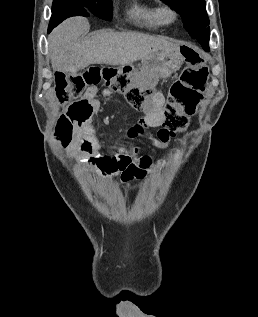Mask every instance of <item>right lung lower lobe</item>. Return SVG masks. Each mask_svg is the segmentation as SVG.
Masks as SVG:
<instances>
[{
	"instance_id": "98d812e1",
	"label": "right lung lower lobe",
	"mask_w": 258,
	"mask_h": 317,
	"mask_svg": "<svg viewBox=\"0 0 258 317\" xmlns=\"http://www.w3.org/2000/svg\"><path fill=\"white\" fill-rule=\"evenodd\" d=\"M90 13L97 16L96 10L93 7L87 6L82 2L65 0L58 3H53L52 17L48 27V33H50L55 26L68 17L77 15L87 17L90 15Z\"/></svg>"
}]
</instances>
